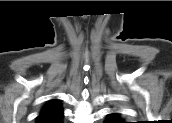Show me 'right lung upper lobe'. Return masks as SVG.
<instances>
[{"label":"right lung upper lobe","mask_w":172,"mask_h":123,"mask_svg":"<svg viewBox=\"0 0 172 123\" xmlns=\"http://www.w3.org/2000/svg\"><path fill=\"white\" fill-rule=\"evenodd\" d=\"M63 110L57 99L51 100L38 116V123H62Z\"/></svg>","instance_id":"obj_1"}]
</instances>
